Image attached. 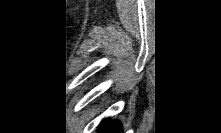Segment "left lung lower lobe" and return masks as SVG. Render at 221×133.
Instances as JSON below:
<instances>
[{
    "instance_id": "0a47b994",
    "label": "left lung lower lobe",
    "mask_w": 221,
    "mask_h": 133,
    "mask_svg": "<svg viewBox=\"0 0 221 133\" xmlns=\"http://www.w3.org/2000/svg\"><path fill=\"white\" fill-rule=\"evenodd\" d=\"M100 130L103 133H121V127L117 121L104 120L100 124Z\"/></svg>"
}]
</instances>
